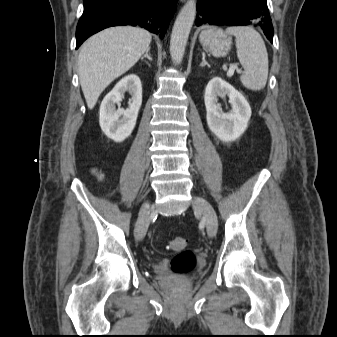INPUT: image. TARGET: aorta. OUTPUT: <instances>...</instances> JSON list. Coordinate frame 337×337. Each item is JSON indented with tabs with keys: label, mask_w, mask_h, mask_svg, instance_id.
<instances>
[{
	"label": "aorta",
	"mask_w": 337,
	"mask_h": 337,
	"mask_svg": "<svg viewBox=\"0 0 337 337\" xmlns=\"http://www.w3.org/2000/svg\"><path fill=\"white\" fill-rule=\"evenodd\" d=\"M195 16L196 1L188 0L179 12L171 33L170 54L175 64H180L183 59Z\"/></svg>",
	"instance_id": "762f6f07"
}]
</instances>
